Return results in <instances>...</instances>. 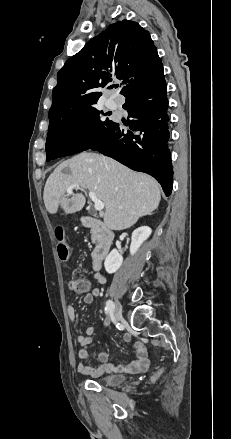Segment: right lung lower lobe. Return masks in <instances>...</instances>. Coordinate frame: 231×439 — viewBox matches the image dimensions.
Segmentation results:
<instances>
[{"label": "right lung lower lobe", "instance_id": "1", "mask_svg": "<svg viewBox=\"0 0 231 439\" xmlns=\"http://www.w3.org/2000/svg\"><path fill=\"white\" fill-rule=\"evenodd\" d=\"M164 76L126 97L128 130L113 125L90 149L99 151L129 168L153 176L167 196L171 194L173 170L168 149V100Z\"/></svg>", "mask_w": 231, "mask_h": 439}]
</instances>
